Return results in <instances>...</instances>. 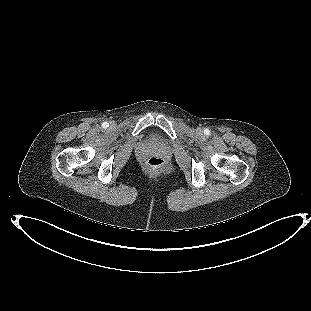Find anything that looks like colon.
<instances>
[{
    "label": "colon",
    "instance_id": "obj_1",
    "mask_svg": "<svg viewBox=\"0 0 311 311\" xmlns=\"http://www.w3.org/2000/svg\"><path fill=\"white\" fill-rule=\"evenodd\" d=\"M147 166L150 170L159 171L165 167V161L160 157H151L147 161Z\"/></svg>",
    "mask_w": 311,
    "mask_h": 311
}]
</instances>
